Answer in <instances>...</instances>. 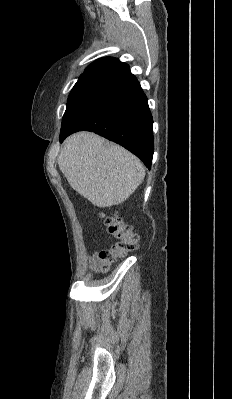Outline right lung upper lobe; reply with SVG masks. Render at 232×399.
<instances>
[{
  "label": "right lung upper lobe",
  "instance_id": "obj_1",
  "mask_svg": "<svg viewBox=\"0 0 232 399\" xmlns=\"http://www.w3.org/2000/svg\"><path fill=\"white\" fill-rule=\"evenodd\" d=\"M128 69L129 66L118 59L105 57L90 64L79 77V80H92L99 83Z\"/></svg>",
  "mask_w": 232,
  "mask_h": 399
}]
</instances>
